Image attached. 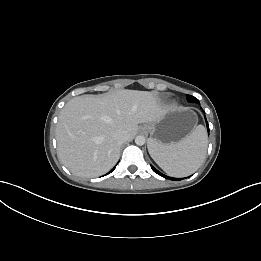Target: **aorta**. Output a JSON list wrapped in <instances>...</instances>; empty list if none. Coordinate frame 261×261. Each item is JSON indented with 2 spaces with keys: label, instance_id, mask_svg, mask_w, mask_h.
I'll return each instance as SVG.
<instances>
[{
  "label": "aorta",
  "instance_id": "aorta-1",
  "mask_svg": "<svg viewBox=\"0 0 261 261\" xmlns=\"http://www.w3.org/2000/svg\"><path fill=\"white\" fill-rule=\"evenodd\" d=\"M145 142H146V139H145V137L142 136V135H139V136H137V137L135 138V143H136L138 146L144 145Z\"/></svg>",
  "mask_w": 261,
  "mask_h": 261
}]
</instances>
